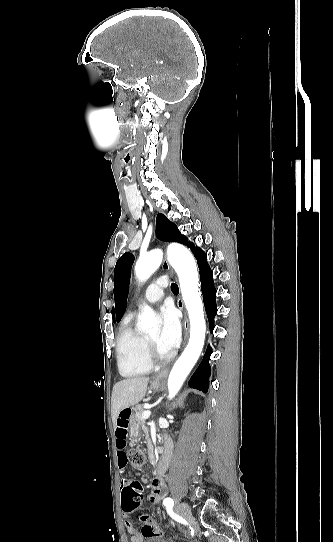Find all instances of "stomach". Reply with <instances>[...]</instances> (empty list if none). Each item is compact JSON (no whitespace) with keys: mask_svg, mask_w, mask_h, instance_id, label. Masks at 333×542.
<instances>
[{"mask_svg":"<svg viewBox=\"0 0 333 542\" xmlns=\"http://www.w3.org/2000/svg\"><path fill=\"white\" fill-rule=\"evenodd\" d=\"M160 388H163L162 382H155V380L151 382L150 390H155V392H157V390H160ZM127 422H128V428H129V432L131 434L132 439L135 441L140 440L142 437V434L139 429V426L136 425V422H134V420H132V416H129Z\"/></svg>","mask_w":333,"mask_h":542,"instance_id":"1","label":"stomach"}]
</instances>
